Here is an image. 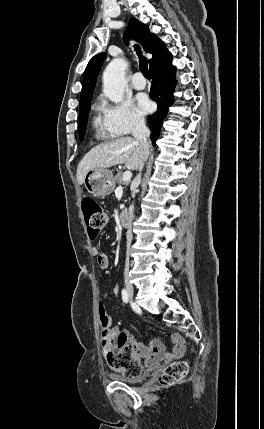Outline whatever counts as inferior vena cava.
I'll use <instances>...</instances> for the list:
<instances>
[{
    "instance_id": "inferior-vena-cava-1",
    "label": "inferior vena cava",
    "mask_w": 264,
    "mask_h": 429,
    "mask_svg": "<svg viewBox=\"0 0 264 429\" xmlns=\"http://www.w3.org/2000/svg\"><path fill=\"white\" fill-rule=\"evenodd\" d=\"M132 135L134 136V138L137 140V142L140 145L141 148V152H142V161L139 164V174L136 176L135 178V182L137 184L140 183L141 181V171L144 167V161L146 160V158L148 157L149 154V142H148V137L150 136V131L149 129L146 127L145 125V120L142 117H138L134 119L133 122V129H132ZM134 193H133V197H134ZM134 210V206L131 205L130 207V211L133 212ZM128 228H127V241H126V245L125 248L129 249L130 248V244L132 241V235H133V228L134 226V222H135V213H130V216L128 217ZM127 255L130 253L128 250L125 252ZM125 269L128 270L129 269V258H126V263H125Z\"/></svg>"
}]
</instances>
